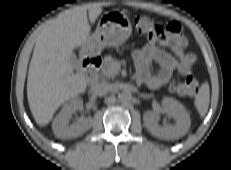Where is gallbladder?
<instances>
[{"mask_svg": "<svg viewBox=\"0 0 231 170\" xmlns=\"http://www.w3.org/2000/svg\"><path fill=\"white\" fill-rule=\"evenodd\" d=\"M72 63H73V66H75V65H76V59H75V57H74V56L72 57Z\"/></svg>", "mask_w": 231, "mask_h": 170, "instance_id": "bac80fb5", "label": "gallbladder"}]
</instances>
